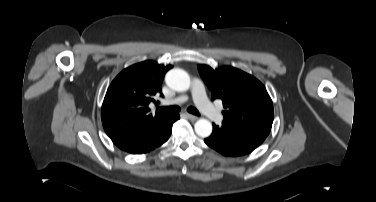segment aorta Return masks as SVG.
Returning a JSON list of instances; mask_svg holds the SVG:
<instances>
[{
    "label": "aorta",
    "instance_id": "762f6f07",
    "mask_svg": "<svg viewBox=\"0 0 376 202\" xmlns=\"http://www.w3.org/2000/svg\"><path fill=\"white\" fill-rule=\"evenodd\" d=\"M167 85L178 92H185L189 89L191 81L188 73L182 69H172L165 77ZM195 132L198 136L206 138L212 133V124L207 119H199L195 123Z\"/></svg>",
    "mask_w": 376,
    "mask_h": 202
}]
</instances>
